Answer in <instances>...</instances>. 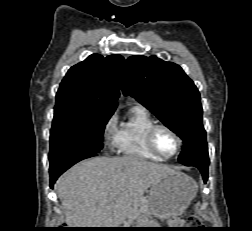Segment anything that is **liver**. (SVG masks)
Masks as SVG:
<instances>
[{
    "mask_svg": "<svg viewBox=\"0 0 252 231\" xmlns=\"http://www.w3.org/2000/svg\"><path fill=\"white\" fill-rule=\"evenodd\" d=\"M175 171L141 158L96 157L84 160L56 182L70 228H119L139 218L145 192Z\"/></svg>",
    "mask_w": 252,
    "mask_h": 231,
    "instance_id": "6515ba94",
    "label": "liver"
}]
</instances>
